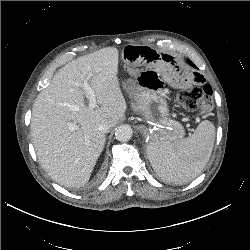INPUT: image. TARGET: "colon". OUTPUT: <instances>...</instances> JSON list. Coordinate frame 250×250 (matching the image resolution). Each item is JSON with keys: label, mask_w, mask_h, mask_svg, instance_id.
Here are the masks:
<instances>
[{"label": "colon", "mask_w": 250, "mask_h": 250, "mask_svg": "<svg viewBox=\"0 0 250 250\" xmlns=\"http://www.w3.org/2000/svg\"><path fill=\"white\" fill-rule=\"evenodd\" d=\"M175 100L187 111H199L202 115H207L213 108L212 88L209 85L197 86L179 92Z\"/></svg>", "instance_id": "5ec220e1"}]
</instances>
